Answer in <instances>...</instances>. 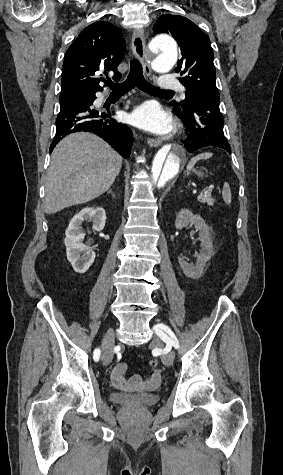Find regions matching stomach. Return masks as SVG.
Masks as SVG:
<instances>
[{"label": "stomach", "instance_id": "obj_1", "mask_svg": "<svg viewBox=\"0 0 283 475\" xmlns=\"http://www.w3.org/2000/svg\"><path fill=\"white\" fill-rule=\"evenodd\" d=\"M194 172H196V170H194ZM196 174H198V176H203L202 172H196Z\"/></svg>", "mask_w": 283, "mask_h": 475}]
</instances>
